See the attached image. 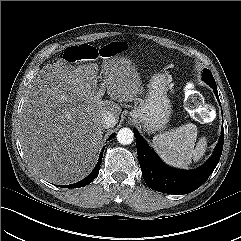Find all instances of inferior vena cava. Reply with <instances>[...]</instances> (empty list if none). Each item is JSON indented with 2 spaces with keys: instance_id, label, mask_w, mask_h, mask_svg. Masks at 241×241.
Masks as SVG:
<instances>
[{
  "instance_id": "inferior-vena-cava-1",
  "label": "inferior vena cava",
  "mask_w": 241,
  "mask_h": 241,
  "mask_svg": "<svg viewBox=\"0 0 241 241\" xmlns=\"http://www.w3.org/2000/svg\"><path fill=\"white\" fill-rule=\"evenodd\" d=\"M116 123H117V119L112 113L107 112L102 115L101 125L103 128L107 129V128L113 127L115 126Z\"/></svg>"
}]
</instances>
